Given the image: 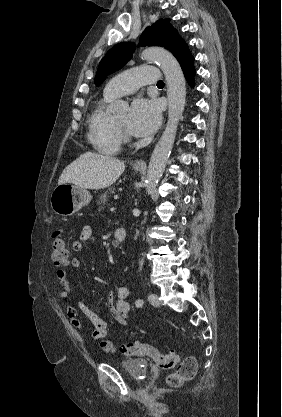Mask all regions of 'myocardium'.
<instances>
[{
    "label": "myocardium",
    "mask_w": 282,
    "mask_h": 417,
    "mask_svg": "<svg viewBox=\"0 0 282 417\" xmlns=\"http://www.w3.org/2000/svg\"><path fill=\"white\" fill-rule=\"evenodd\" d=\"M112 126H113L115 132L119 135L120 138H122L124 140L129 139V135L126 132V130L116 123L114 117H112Z\"/></svg>",
    "instance_id": "f54148a6"
}]
</instances>
